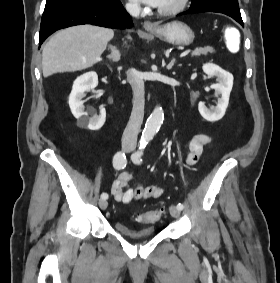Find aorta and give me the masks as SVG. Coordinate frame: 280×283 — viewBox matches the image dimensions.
Here are the masks:
<instances>
[{"mask_svg":"<svg viewBox=\"0 0 280 283\" xmlns=\"http://www.w3.org/2000/svg\"><path fill=\"white\" fill-rule=\"evenodd\" d=\"M164 120V113L161 107H155L149 118L147 119L145 128L142 133V141L151 140L161 127Z\"/></svg>","mask_w":280,"mask_h":283,"instance_id":"762f6f07","label":"aorta"}]
</instances>
